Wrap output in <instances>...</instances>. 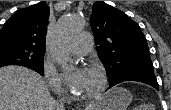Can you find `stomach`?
<instances>
[{
	"mask_svg": "<svg viewBox=\"0 0 171 110\" xmlns=\"http://www.w3.org/2000/svg\"><path fill=\"white\" fill-rule=\"evenodd\" d=\"M132 95L124 88L115 87L107 92L95 110H127Z\"/></svg>",
	"mask_w": 171,
	"mask_h": 110,
	"instance_id": "0dacf381",
	"label": "stomach"
}]
</instances>
